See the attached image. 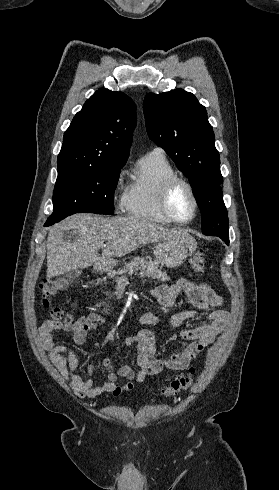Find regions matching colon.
Wrapping results in <instances>:
<instances>
[{
    "label": "colon",
    "instance_id": "1",
    "mask_svg": "<svg viewBox=\"0 0 279 490\" xmlns=\"http://www.w3.org/2000/svg\"><path fill=\"white\" fill-rule=\"evenodd\" d=\"M206 261L207 258L204 250L199 249L191 256L189 263L194 272L203 274L207 267ZM63 285L64 283L61 281L51 282L45 286L42 292V297L47 303L46 307L49 308L50 317L56 321L67 320L66 313L62 308L49 305L54 294L60 291ZM193 374L194 372H190L186 376H180L172 380L170 385L163 391V395L166 397H176L181 393L188 391L194 382Z\"/></svg>",
    "mask_w": 279,
    "mask_h": 490
}]
</instances>
